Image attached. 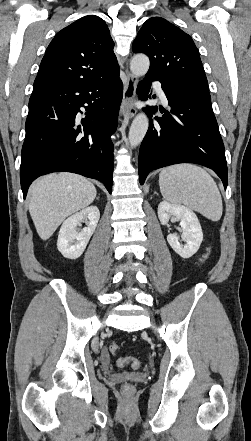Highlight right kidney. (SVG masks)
Here are the masks:
<instances>
[{"label":"right kidney","instance_id":"right-kidney-1","mask_svg":"<svg viewBox=\"0 0 251 441\" xmlns=\"http://www.w3.org/2000/svg\"><path fill=\"white\" fill-rule=\"evenodd\" d=\"M99 218V209L96 206H90L64 221L59 231L57 248L65 258L73 260L82 255L96 229ZM83 220H88L87 227L77 232L75 228Z\"/></svg>","mask_w":251,"mask_h":441}]
</instances>
